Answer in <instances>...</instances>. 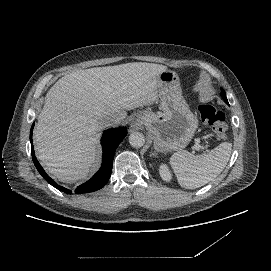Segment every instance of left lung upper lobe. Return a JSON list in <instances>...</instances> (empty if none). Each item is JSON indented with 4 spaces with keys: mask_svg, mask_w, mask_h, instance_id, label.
<instances>
[{
    "mask_svg": "<svg viewBox=\"0 0 271 271\" xmlns=\"http://www.w3.org/2000/svg\"><path fill=\"white\" fill-rule=\"evenodd\" d=\"M221 95H222L224 101L228 104V101H227V98H226L225 91L222 90Z\"/></svg>",
    "mask_w": 271,
    "mask_h": 271,
    "instance_id": "5c2ea615",
    "label": "left lung upper lobe"
}]
</instances>
